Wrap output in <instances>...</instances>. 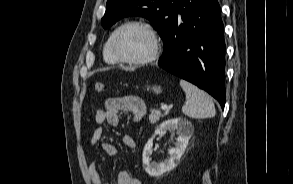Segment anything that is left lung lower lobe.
<instances>
[{"instance_id": "1", "label": "left lung lower lobe", "mask_w": 293, "mask_h": 184, "mask_svg": "<svg viewBox=\"0 0 293 184\" xmlns=\"http://www.w3.org/2000/svg\"><path fill=\"white\" fill-rule=\"evenodd\" d=\"M158 65L225 105V42L217 0H178Z\"/></svg>"}]
</instances>
